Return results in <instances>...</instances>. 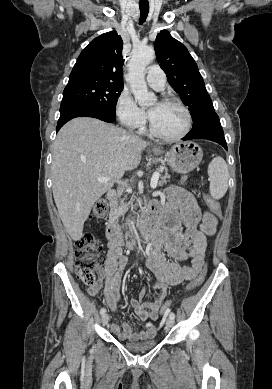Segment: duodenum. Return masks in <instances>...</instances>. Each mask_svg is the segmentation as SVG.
I'll return each mask as SVG.
<instances>
[{
    "label": "duodenum",
    "instance_id": "obj_1",
    "mask_svg": "<svg viewBox=\"0 0 272 389\" xmlns=\"http://www.w3.org/2000/svg\"><path fill=\"white\" fill-rule=\"evenodd\" d=\"M106 197L110 204L114 205L117 200L118 193L115 189H110L108 190ZM159 224V213L149 208L146 212L144 222L142 224H138L136 228L140 238L145 241L152 239L157 234ZM106 235L110 242L116 243L120 246H132L136 242L133 237H128L123 233L121 225L115 218H111L108 222Z\"/></svg>",
    "mask_w": 272,
    "mask_h": 389
}]
</instances>
